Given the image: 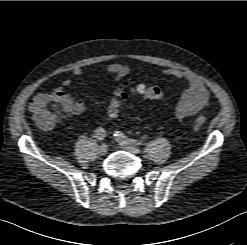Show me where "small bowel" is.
<instances>
[{"instance_id":"1","label":"small bowel","mask_w":247,"mask_h":245,"mask_svg":"<svg viewBox=\"0 0 247 245\" xmlns=\"http://www.w3.org/2000/svg\"><path fill=\"white\" fill-rule=\"evenodd\" d=\"M107 74L113 76V83L117 84L125 78L130 69L128 66L121 63H112L105 69ZM83 74L81 67H75L72 70V75L79 77ZM162 74L178 79H182L186 83V88L182 92L180 98L175 104V114L179 120H183L188 116L194 115L204 109L209 103V92L202 80L193 72L184 71L177 68H164ZM71 79H65L62 82L63 87L53 89L50 93L62 94L69 102V109L66 116H79L85 110L83 101L74 100L69 94L64 91L65 87L71 85ZM41 93L39 95H42ZM37 95V96H39Z\"/></svg>"}]
</instances>
